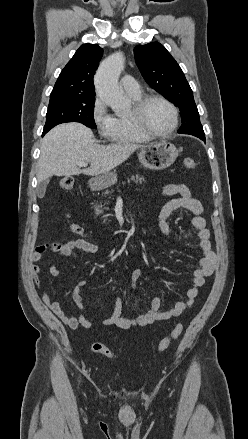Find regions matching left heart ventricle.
I'll return each instance as SVG.
<instances>
[{
  "mask_svg": "<svg viewBox=\"0 0 248 439\" xmlns=\"http://www.w3.org/2000/svg\"><path fill=\"white\" fill-rule=\"evenodd\" d=\"M147 126L156 133L167 132L173 124L171 109L162 101H151L145 110Z\"/></svg>",
  "mask_w": 248,
  "mask_h": 439,
  "instance_id": "left-heart-ventricle-1",
  "label": "left heart ventricle"
}]
</instances>
